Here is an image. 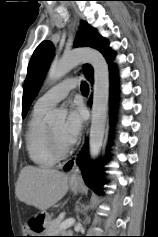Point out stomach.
<instances>
[{
  "label": "stomach",
  "mask_w": 158,
  "mask_h": 237,
  "mask_svg": "<svg viewBox=\"0 0 158 237\" xmlns=\"http://www.w3.org/2000/svg\"><path fill=\"white\" fill-rule=\"evenodd\" d=\"M69 186L70 189L72 190V192L77 193L78 189H79V183L77 181L74 180H70L69 182ZM32 235L33 236H43V231L42 230H38V231H32Z\"/></svg>",
  "instance_id": "0dacf381"
}]
</instances>
